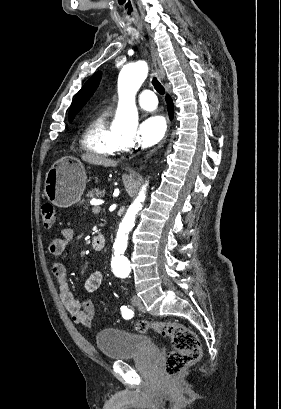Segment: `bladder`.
Instances as JSON below:
<instances>
[{
    "label": "bladder",
    "mask_w": 281,
    "mask_h": 409,
    "mask_svg": "<svg viewBox=\"0 0 281 409\" xmlns=\"http://www.w3.org/2000/svg\"><path fill=\"white\" fill-rule=\"evenodd\" d=\"M97 351L108 361L126 362L132 355H157L159 347L146 333H134L117 327H107L93 336Z\"/></svg>",
    "instance_id": "31cf9c89"
}]
</instances>
